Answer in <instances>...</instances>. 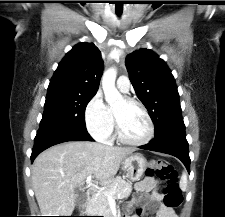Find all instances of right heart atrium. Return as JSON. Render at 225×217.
I'll list each match as a JSON object with an SVG mask.
<instances>
[{
    "label": "right heart atrium",
    "instance_id": "obj_1",
    "mask_svg": "<svg viewBox=\"0 0 225 217\" xmlns=\"http://www.w3.org/2000/svg\"><path fill=\"white\" fill-rule=\"evenodd\" d=\"M84 119L88 132L94 138L106 141L111 137L114 130V118L100 92H97L87 103Z\"/></svg>",
    "mask_w": 225,
    "mask_h": 217
}]
</instances>
